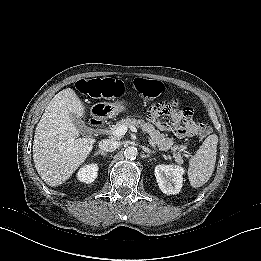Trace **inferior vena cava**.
I'll return each mask as SVG.
<instances>
[{
    "instance_id": "obj_1",
    "label": "inferior vena cava",
    "mask_w": 261,
    "mask_h": 261,
    "mask_svg": "<svg viewBox=\"0 0 261 261\" xmlns=\"http://www.w3.org/2000/svg\"><path fill=\"white\" fill-rule=\"evenodd\" d=\"M98 146L100 148V151L111 152L117 148V143L116 141L110 139H103L98 142Z\"/></svg>"
}]
</instances>
